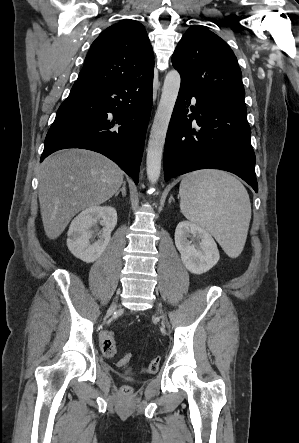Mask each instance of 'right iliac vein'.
<instances>
[{"instance_id":"right-iliac-vein-1","label":"right iliac vein","mask_w":299,"mask_h":443,"mask_svg":"<svg viewBox=\"0 0 299 443\" xmlns=\"http://www.w3.org/2000/svg\"><path fill=\"white\" fill-rule=\"evenodd\" d=\"M117 308V300H115L109 308V312L112 313Z\"/></svg>"}]
</instances>
